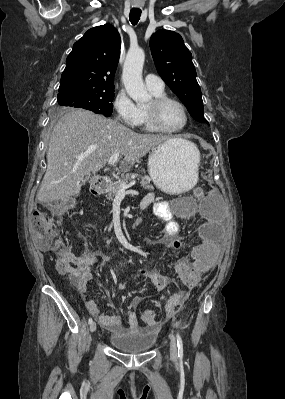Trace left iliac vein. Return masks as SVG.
<instances>
[{"instance_id":"obj_1","label":"left iliac vein","mask_w":285,"mask_h":399,"mask_svg":"<svg viewBox=\"0 0 285 399\" xmlns=\"http://www.w3.org/2000/svg\"><path fill=\"white\" fill-rule=\"evenodd\" d=\"M170 356L172 359L177 358V344L173 334H170Z\"/></svg>"}]
</instances>
